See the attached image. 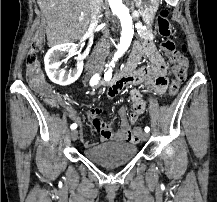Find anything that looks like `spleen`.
Returning <instances> with one entry per match:
<instances>
[{"instance_id": "obj_1", "label": "spleen", "mask_w": 217, "mask_h": 202, "mask_svg": "<svg viewBox=\"0 0 217 202\" xmlns=\"http://www.w3.org/2000/svg\"><path fill=\"white\" fill-rule=\"evenodd\" d=\"M166 5H177V0H166Z\"/></svg>"}]
</instances>
